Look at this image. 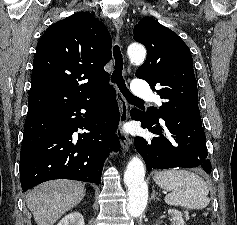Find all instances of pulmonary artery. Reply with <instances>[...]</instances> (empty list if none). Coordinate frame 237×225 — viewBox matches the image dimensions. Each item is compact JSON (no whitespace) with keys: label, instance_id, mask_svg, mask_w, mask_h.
Returning a JSON list of instances; mask_svg holds the SVG:
<instances>
[{"label":"pulmonary artery","instance_id":"pulmonary-artery-1","mask_svg":"<svg viewBox=\"0 0 237 225\" xmlns=\"http://www.w3.org/2000/svg\"><path fill=\"white\" fill-rule=\"evenodd\" d=\"M132 92L139 97L153 99L158 103L160 102V99L152 95L150 87L143 81L136 80L132 85Z\"/></svg>","mask_w":237,"mask_h":225}]
</instances>
